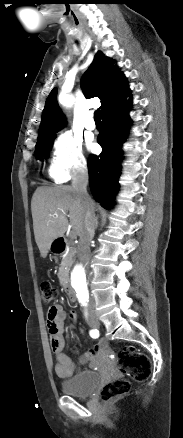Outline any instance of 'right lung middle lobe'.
<instances>
[{"mask_svg":"<svg viewBox=\"0 0 183 438\" xmlns=\"http://www.w3.org/2000/svg\"><path fill=\"white\" fill-rule=\"evenodd\" d=\"M54 138V134L38 137L35 147L36 159L42 160L44 156L48 155Z\"/></svg>","mask_w":183,"mask_h":438,"instance_id":"dd1d6c3e","label":"right lung middle lobe"}]
</instances>
